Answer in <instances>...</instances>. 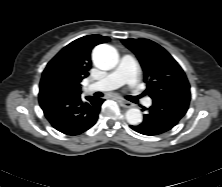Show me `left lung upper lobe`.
Instances as JSON below:
<instances>
[{
	"mask_svg": "<svg viewBox=\"0 0 222 187\" xmlns=\"http://www.w3.org/2000/svg\"><path fill=\"white\" fill-rule=\"evenodd\" d=\"M122 43L137 56L147 84L145 93L153 100L191 95L184 71L164 48L148 39H124Z\"/></svg>",
	"mask_w": 222,
	"mask_h": 187,
	"instance_id": "left-lung-upper-lobe-1",
	"label": "left lung upper lobe"
}]
</instances>
